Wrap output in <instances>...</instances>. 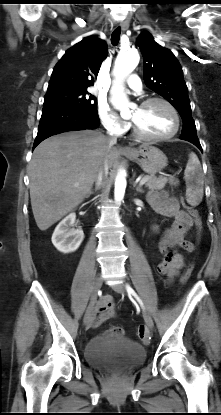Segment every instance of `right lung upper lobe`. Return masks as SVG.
Instances as JSON below:
<instances>
[{
    "instance_id": "right-lung-upper-lobe-1",
    "label": "right lung upper lobe",
    "mask_w": 221,
    "mask_h": 415,
    "mask_svg": "<svg viewBox=\"0 0 221 415\" xmlns=\"http://www.w3.org/2000/svg\"><path fill=\"white\" fill-rule=\"evenodd\" d=\"M107 45L96 36L86 37L68 49L53 69L47 93L87 89L94 84ZM46 93V94H47Z\"/></svg>"
}]
</instances>
